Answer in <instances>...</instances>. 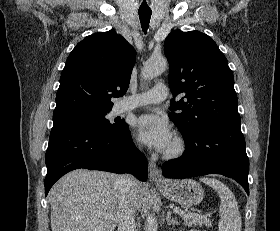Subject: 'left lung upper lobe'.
Here are the masks:
<instances>
[{"mask_svg": "<svg viewBox=\"0 0 280 231\" xmlns=\"http://www.w3.org/2000/svg\"><path fill=\"white\" fill-rule=\"evenodd\" d=\"M173 96L170 119L183 136L215 124H240L234 77L216 43L199 31H172L164 43ZM177 111V112H175Z\"/></svg>", "mask_w": 280, "mask_h": 231, "instance_id": "left-lung-upper-lobe-1", "label": "left lung upper lobe"}]
</instances>
